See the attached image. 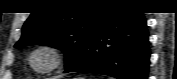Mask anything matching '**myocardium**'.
<instances>
[{
    "instance_id": "myocardium-1",
    "label": "myocardium",
    "mask_w": 177,
    "mask_h": 79,
    "mask_svg": "<svg viewBox=\"0 0 177 79\" xmlns=\"http://www.w3.org/2000/svg\"><path fill=\"white\" fill-rule=\"evenodd\" d=\"M40 52H48L51 54L52 56V64L47 67V68H44V69H39V68H36L33 64V57L40 53ZM63 61V53H62V50L54 45V44H50V43H41L39 45H37L29 54L28 56V62H29V65L31 66V68L36 71V72H39V73H50L54 70H56L62 63Z\"/></svg>"
}]
</instances>
